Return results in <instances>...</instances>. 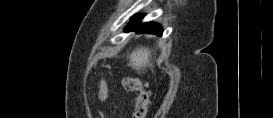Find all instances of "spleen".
<instances>
[{"mask_svg":"<svg viewBox=\"0 0 273 118\" xmlns=\"http://www.w3.org/2000/svg\"><path fill=\"white\" fill-rule=\"evenodd\" d=\"M150 54L151 51L147 48L136 49L129 56V66L138 72L140 70L146 69L150 62Z\"/></svg>","mask_w":273,"mask_h":118,"instance_id":"1","label":"spleen"}]
</instances>
